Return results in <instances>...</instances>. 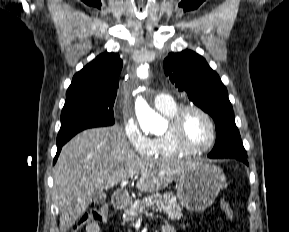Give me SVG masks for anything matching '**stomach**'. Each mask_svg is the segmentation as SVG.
<instances>
[{
  "mask_svg": "<svg viewBox=\"0 0 289 232\" xmlns=\"http://www.w3.org/2000/svg\"><path fill=\"white\" fill-rule=\"evenodd\" d=\"M226 182L223 171L211 164L192 162L179 176L177 198L190 211L210 207Z\"/></svg>",
  "mask_w": 289,
  "mask_h": 232,
  "instance_id": "0dacf381",
  "label": "stomach"
}]
</instances>
